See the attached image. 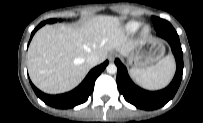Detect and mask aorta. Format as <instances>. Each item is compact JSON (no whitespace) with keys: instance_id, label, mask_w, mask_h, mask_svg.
<instances>
[{"instance_id":"762f6f07","label":"aorta","mask_w":203,"mask_h":123,"mask_svg":"<svg viewBox=\"0 0 203 123\" xmlns=\"http://www.w3.org/2000/svg\"><path fill=\"white\" fill-rule=\"evenodd\" d=\"M107 73L109 74H115L117 72V67L114 63H110L107 67H106Z\"/></svg>"}]
</instances>
